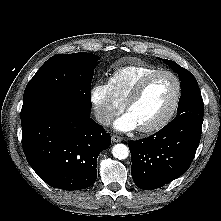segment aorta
I'll return each mask as SVG.
<instances>
[{
    "instance_id": "762f6f07",
    "label": "aorta",
    "mask_w": 221,
    "mask_h": 221,
    "mask_svg": "<svg viewBox=\"0 0 221 221\" xmlns=\"http://www.w3.org/2000/svg\"><path fill=\"white\" fill-rule=\"evenodd\" d=\"M112 154L119 160L126 159L129 155V148L124 144H116L112 148Z\"/></svg>"
}]
</instances>
